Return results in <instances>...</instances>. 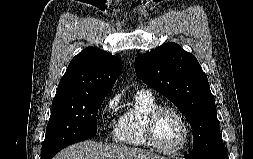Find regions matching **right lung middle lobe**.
I'll return each instance as SVG.
<instances>
[{"label":"right lung middle lobe","mask_w":253,"mask_h":159,"mask_svg":"<svg viewBox=\"0 0 253 159\" xmlns=\"http://www.w3.org/2000/svg\"><path fill=\"white\" fill-rule=\"evenodd\" d=\"M105 96L81 94L54 98L41 159H49L60 149L94 136L97 133L96 114Z\"/></svg>","instance_id":"dd1d6c3e"}]
</instances>
